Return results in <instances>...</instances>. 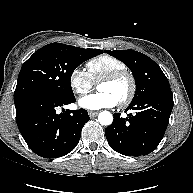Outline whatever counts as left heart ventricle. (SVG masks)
Listing matches in <instances>:
<instances>
[{"instance_id":"obj_1","label":"left heart ventricle","mask_w":193,"mask_h":193,"mask_svg":"<svg viewBox=\"0 0 193 193\" xmlns=\"http://www.w3.org/2000/svg\"><path fill=\"white\" fill-rule=\"evenodd\" d=\"M98 90L111 94L117 102H120L128 95L130 82L127 78H122L116 82L101 83L98 85Z\"/></svg>"}]
</instances>
